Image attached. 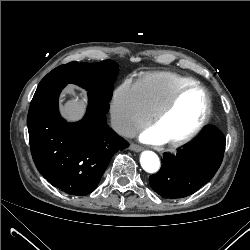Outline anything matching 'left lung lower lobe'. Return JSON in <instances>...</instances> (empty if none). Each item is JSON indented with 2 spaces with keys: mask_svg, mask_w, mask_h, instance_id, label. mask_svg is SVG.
Returning <instances> with one entry per match:
<instances>
[{
  "mask_svg": "<svg viewBox=\"0 0 250 250\" xmlns=\"http://www.w3.org/2000/svg\"><path fill=\"white\" fill-rule=\"evenodd\" d=\"M226 140L207 127L189 146L175 155L165 153L159 172L149 177L151 188L164 198H183L210 181L221 165Z\"/></svg>",
  "mask_w": 250,
  "mask_h": 250,
  "instance_id": "obj_1",
  "label": "left lung lower lobe"
}]
</instances>
